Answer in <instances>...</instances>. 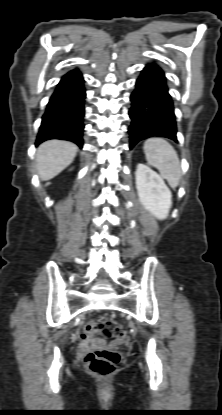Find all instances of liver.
I'll return each mask as SVG.
<instances>
[{
  "label": "liver",
  "mask_w": 222,
  "mask_h": 415,
  "mask_svg": "<svg viewBox=\"0 0 222 415\" xmlns=\"http://www.w3.org/2000/svg\"><path fill=\"white\" fill-rule=\"evenodd\" d=\"M78 147L69 141L49 140L42 143L36 154V167L41 180L47 181L69 166Z\"/></svg>",
  "instance_id": "liver-1"
}]
</instances>
